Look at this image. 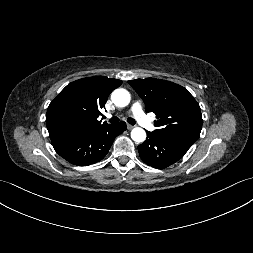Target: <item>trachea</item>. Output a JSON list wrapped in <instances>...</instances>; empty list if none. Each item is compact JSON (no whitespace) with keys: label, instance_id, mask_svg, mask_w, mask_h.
<instances>
[{"label":"trachea","instance_id":"3493384b","mask_svg":"<svg viewBox=\"0 0 253 253\" xmlns=\"http://www.w3.org/2000/svg\"><path fill=\"white\" fill-rule=\"evenodd\" d=\"M109 122H110L111 124H116V123L119 122V118H118V117H113V118H111V119L109 120ZM127 122H128L129 124H131V125H134V124L136 123V121H135L133 118H128V119H127Z\"/></svg>","mask_w":253,"mask_h":253}]
</instances>
